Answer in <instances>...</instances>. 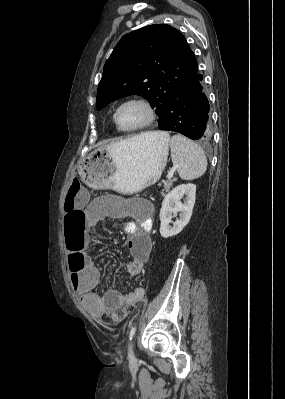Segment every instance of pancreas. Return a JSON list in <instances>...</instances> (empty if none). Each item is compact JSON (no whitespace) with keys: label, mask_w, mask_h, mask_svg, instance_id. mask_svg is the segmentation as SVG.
Instances as JSON below:
<instances>
[{"label":"pancreas","mask_w":285,"mask_h":399,"mask_svg":"<svg viewBox=\"0 0 285 399\" xmlns=\"http://www.w3.org/2000/svg\"><path fill=\"white\" fill-rule=\"evenodd\" d=\"M174 181H175L174 179H169L164 182V185H163L164 189L162 191V194H164V192H168L170 190V188L173 186Z\"/></svg>","instance_id":"pancreas-1"}]
</instances>
